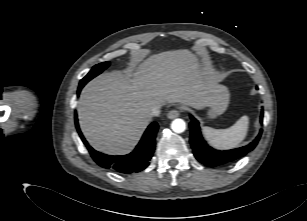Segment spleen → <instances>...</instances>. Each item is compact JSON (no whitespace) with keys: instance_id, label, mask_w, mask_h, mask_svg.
I'll return each mask as SVG.
<instances>
[{"instance_id":"spleen-1","label":"spleen","mask_w":307,"mask_h":221,"mask_svg":"<svg viewBox=\"0 0 307 221\" xmlns=\"http://www.w3.org/2000/svg\"><path fill=\"white\" fill-rule=\"evenodd\" d=\"M249 117L242 116L234 125L226 129H214L208 126L202 128L203 135L215 148L230 149L241 143L248 132Z\"/></svg>"}]
</instances>
